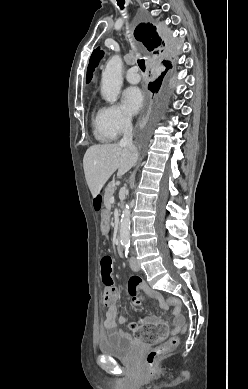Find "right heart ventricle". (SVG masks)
<instances>
[{
    "label": "right heart ventricle",
    "mask_w": 248,
    "mask_h": 389,
    "mask_svg": "<svg viewBox=\"0 0 248 389\" xmlns=\"http://www.w3.org/2000/svg\"><path fill=\"white\" fill-rule=\"evenodd\" d=\"M91 126L93 134L98 141L109 142L115 138L108 127L103 109L99 108L95 111L91 120Z\"/></svg>",
    "instance_id": "obj_1"
}]
</instances>
